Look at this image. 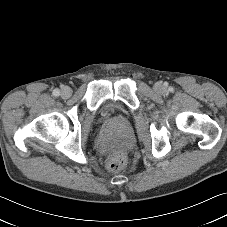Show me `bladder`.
Wrapping results in <instances>:
<instances>
[{
  "label": "bladder",
  "instance_id": "bladder-1",
  "mask_svg": "<svg viewBox=\"0 0 227 227\" xmlns=\"http://www.w3.org/2000/svg\"><path fill=\"white\" fill-rule=\"evenodd\" d=\"M121 111L120 104L114 100L104 101L99 108V116L106 120Z\"/></svg>",
  "mask_w": 227,
  "mask_h": 227
}]
</instances>
